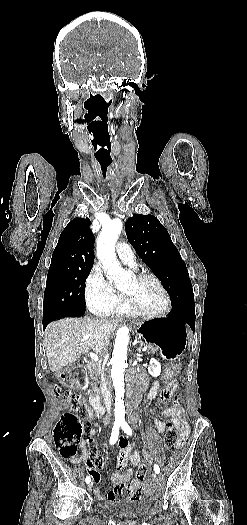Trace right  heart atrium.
<instances>
[{
    "label": "right heart atrium",
    "instance_id": "obj_1",
    "mask_svg": "<svg viewBox=\"0 0 247 525\" xmlns=\"http://www.w3.org/2000/svg\"><path fill=\"white\" fill-rule=\"evenodd\" d=\"M114 289L98 267H94L85 281L84 296L87 308L96 315H106L114 307Z\"/></svg>",
    "mask_w": 247,
    "mask_h": 525
}]
</instances>
